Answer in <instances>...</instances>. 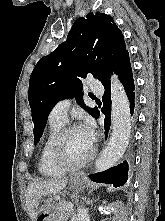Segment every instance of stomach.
<instances>
[{
  "label": "stomach",
  "instance_id": "0dacf381",
  "mask_svg": "<svg viewBox=\"0 0 165 221\" xmlns=\"http://www.w3.org/2000/svg\"><path fill=\"white\" fill-rule=\"evenodd\" d=\"M86 181L80 177H73L70 180V188L73 190H80L84 188ZM39 209L34 212V221H62V218H58L54 215L53 209H57L59 200H38Z\"/></svg>",
  "mask_w": 165,
  "mask_h": 221
}]
</instances>
